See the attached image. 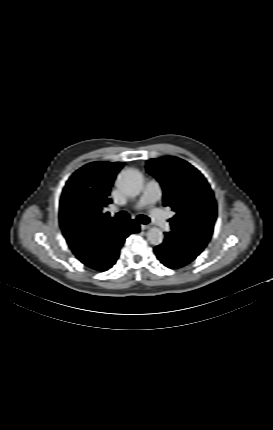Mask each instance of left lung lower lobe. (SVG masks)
<instances>
[{"label": "left lung lower lobe", "instance_id": "obj_1", "mask_svg": "<svg viewBox=\"0 0 273 430\" xmlns=\"http://www.w3.org/2000/svg\"><path fill=\"white\" fill-rule=\"evenodd\" d=\"M154 251L161 263L171 269L183 267L198 256L179 247L171 233H165L164 242L155 247Z\"/></svg>", "mask_w": 273, "mask_h": 430}]
</instances>
